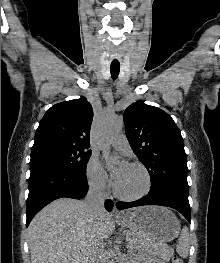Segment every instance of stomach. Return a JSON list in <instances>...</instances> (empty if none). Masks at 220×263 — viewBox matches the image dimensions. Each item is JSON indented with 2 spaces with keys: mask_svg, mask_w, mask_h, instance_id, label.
<instances>
[{
  "mask_svg": "<svg viewBox=\"0 0 220 263\" xmlns=\"http://www.w3.org/2000/svg\"><path fill=\"white\" fill-rule=\"evenodd\" d=\"M129 232L136 235L137 243L132 247L151 249L154 243H165L176 238L180 223L176 216L165 207L144 206L117 219Z\"/></svg>",
  "mask_w": 220,
  "mask_h": 263,
  "instance_id": "0dacf381",
  "label": "stomach"
}]
</instances>
